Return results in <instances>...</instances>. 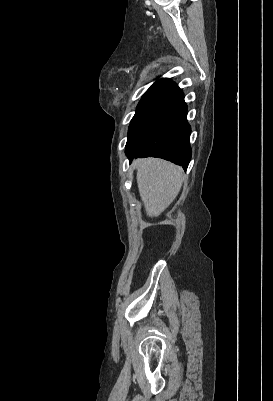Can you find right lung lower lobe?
<instances>
[{
	"mask_svg": "<svg viewBox=\"0 0 273 401\" xmlns=\"http://www.w3.org/2000/svg\"><path fill=\"white\" fill-rule=\"evenodd\" d=\"M187 105L182 93L153 114L127 141L126 156L159 157L187 169L191 160V128L186 119Z\"/></svg>",
	"mask_w": 273,
	"mask_h": 401,
	"instance_id": "right-lung-lower-lobe-1",
	"label": "right lung lower lobe"
}]
</instances>
